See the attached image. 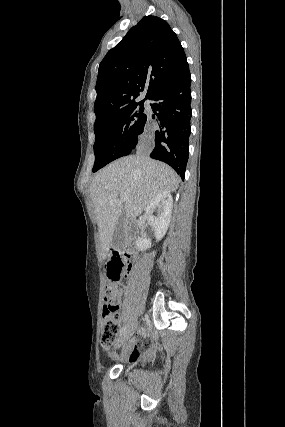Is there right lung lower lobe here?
<instances>
[{
  "instance_id": "obj_1",
  "label": "right lung lower lobe",
  "mask_w": 285,
  "mask_h": 427,
  "mask_svg": "<svg viewBox=\"0 0 285 427\" xmlns=\"http://www.w3.org/2000/svg\"><path fill=\"white\" fill-rule=\"evenodd\" d=\"M191 76L188 71L174 84L158 91L150 100L157 116L158 127L153 131L150 157L170 165L184 180L191 133ZM154 118V116H152ZM151 118L147 116L143 133L148 131Z\"/></svg>"
}]
</instances>
